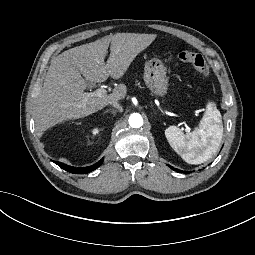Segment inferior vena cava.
<instances>
[{
  "label": "inferior vena cava",
  "mask_w": 255,
  "mask_h": 255,
  "mask_svg": "<svg viewBox=\"0 0 255 255\" xmlns=\"http://www.w3.org/2000/svg\"><path fill=\"white\" fill-rule=\"evenodd\" d=\"M109 104L115 107L117 111H120V112L122 111V107L120 106L118 101H110Z\"/></svg>",
  "instance_id": "inferior-vena-cava-1"
}]
</instances>
